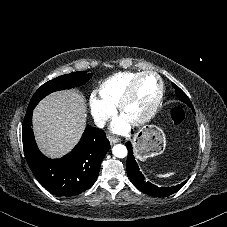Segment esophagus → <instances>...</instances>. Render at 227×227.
I'll return each mask as SVG.
<instances>
[{
  "label": "esophagus",
  "mask_w": 227,
  "mask_h": 227,
  "mask_svg": "<svg viewBox=\"0 0 227 227\" xmlns=\"http://www.w3.org/2000/svg\"><path fill=\"white\" fill-rule=\"evenodd\" d=\"M109 141L111 144H116V143L120 142V139L116 138V137H109Z\"/></svg>",
  "instance_id": "esophagus-1"
}]
</instances>
